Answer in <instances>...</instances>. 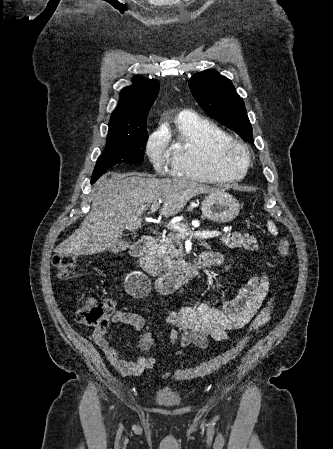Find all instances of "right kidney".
Instances as JSON below:
<instances>
[{
  "mask_svg": "<svg viewBox=\"0 0 333 449\" xmlns=\"http://www.w3.org/2000/svg\"><path fill=\"white\" fill-rule=\"evenodd\" d=\"M130 280L131 282L140 281L141 284L143 285L142 287L144 288V292L147 293L149 291L148 290L149 284L145 282V276L143 274L136 272L130 276Z\"/></svg>",
  "mask_w": 333,
  "mask_h": 449,
  "instance_id": "1",
  "label": "right kidney"
}]
</instances>
